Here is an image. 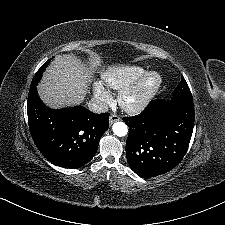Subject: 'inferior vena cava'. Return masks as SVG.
I'll return each instance as SVG.
<instances>
[{
  "instance_id": "obj_1",
  "label": "inferior vena cava",
  "mask_w": 225,
  "mask_h": 225,
  "mask_svg": "<svg viewBox=\"0 0 225 225\" xmlns=\"http://www.w3.org/2000/svg\"><path fill=\"white\" fill-rule=\"evenodd\" d=\"M88 108L94 113H104L108 111V105L97 99H91L88 103Z\"/></svg>"
}]
</instances>
